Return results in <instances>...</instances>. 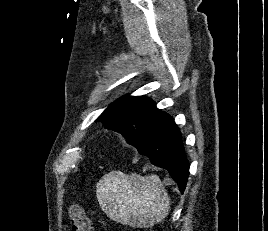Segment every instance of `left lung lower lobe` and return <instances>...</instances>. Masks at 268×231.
Wrapping results in <instances>:
<instances>
[{
    "label": "left lung lower lobe",
    "mask_w": 268,
    "mask_h": 231,
    "mask_svg": "<svg viewBox=\"0 0 268 231\" xmlns=\"http://www.w3.org/2000/svg\"><path fill=\"white\" fill-rule=\"evenodd\" d=\"M141 155L147 156L151 163L166 169L179 190L186 187L189 163L182 144L181 133L170 116L144 141L133 145Z\"/></svg>",
    "instance_id": "0a47b994"
}]
</instances>
